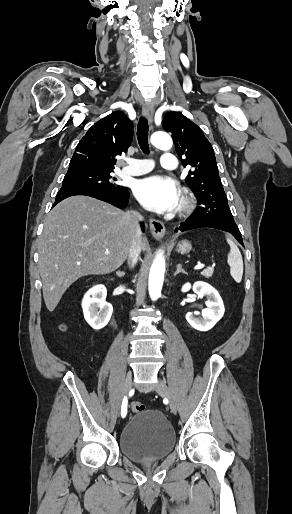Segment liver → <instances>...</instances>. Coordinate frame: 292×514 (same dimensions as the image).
I'll return each instance as SVG.
<instances>
[{
  "label": "liver",
  "instance_id": "6515ba94",
  "mask_svg": "<svg viewBox=\"0 0 292 514\" xmlns=\"http://www.w3.org/2000/svg\"><path fill=\"white\" fill-rule=\"evenodd\" d=\"M43 226L38 264L49 312L78 278L110 274L122 266L136 234L127 212L89 196L63 200L47 214ZM142 244L145 250L146 238Z\"/></svg>",
  "mask_w": 292,
  "mask_h": 514
}]
</instances>
